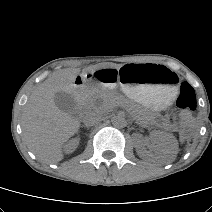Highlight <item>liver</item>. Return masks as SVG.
Segmentation results:
<instances>
[{
  "instance_id": "liver-1",
  "label": "liver",
  "mask_w": 212,
  "mask_h": 212,
  "mask_svg": "<svg viewBox=\"0 0 212 212\" xmlns=\"http://www.w3.org/2000/svg\"><path fill=\"white\" fill-rule=\"evenodd\" d=\"M117 68L121 65H117ZM89 67L85 71H93ZM78 69H62L53 73L31 94L22 113L23 136L27 147L44 163L63 159L62 146L80 127V121L61 111L54 102V94L75 92Z\"/></svg>"
}]
</instances>
